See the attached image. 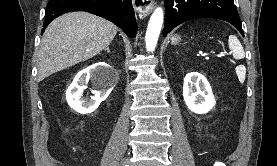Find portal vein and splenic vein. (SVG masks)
Returning a JSON list of instances; mask_svg holds the SVG:
<instances>
[{
	"instance_id": "portal-vein-and-splenic-vein-1",
	"label": "portal vein and splenic vein",
	"mask_w": 277,
	"mask_h": 166,
	"mask_svg": "<svg viewBox=\"0 0 277 166\" xmlns=\"http://www.w3.org/2000/svg\"><path fill=\"white\" fill-rule=\"evenodd\" d=\"M217 57H222V55H217Z\"/></svg>"
}]
</instances>
